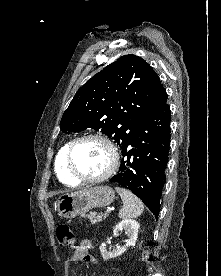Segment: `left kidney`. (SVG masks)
<instances>
[{
    "instance_id": "5707ae66",
    "label": "left kidney",
    "mask_w": 221,
    "mask_h": 276,
    "mask_svg": "<svg viewBox=\"0 0 221 276\" xmlns=\"http://www.w3.org/2000/svg\"><path fill=\"white\" fill-rule=\"evenodd\" d=\"M139 227V223L133 219H125L118 223L114 228L113 233L118 234L119 232H122L124 230L125 234H127L128 236V239L126 240V245L122 247L118 246L112 252H108L105 247V244L102 243L100 246V252L102 254L103 259L107 260L109 258L117 257L124 253L128 247L135 246Z\"/></svg>"
}]
</instances>
